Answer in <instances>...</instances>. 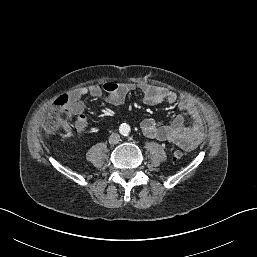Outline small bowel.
I'll return each mask as SVG.
<instances>
[{
  "label": "small bowel",
  "mask_w": 257,
  "mask_h": 257,
  "mask_svg": "<svg viewBox=\"0 0 257 257\" xmlns=\"http://www.w3.org/2000/svg\"><path fill=\"white\" fill-rule=\"evenodd\" d=\"M139 89L143 93V101L147 105H157L162 102L176 103L180 110L189 114L192 124L186 126L182 115H177L169 124H161L153 118H146L141 123V129L147 137L159 141H166L177 145L184 150L195 149L205 138L206 131L204 119L196 104L188 97L178 98L171 90L149 84L147 82L136 83H105L75 89L70 95L69 111L76 117L75 128L78 132L84 131L88 126L85 116V104L81 98L87 94L99 97L106 93L105 102L119 106L124 103L126 96Z\"/></svg>",
  "instance_id": "small-bowel-1"
}]
</instances>
